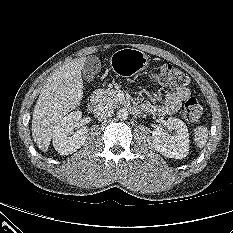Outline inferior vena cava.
<instances>
[{
    "label": "inferior vena cava",
    "instance_id": "obj_1",
    "mask_svg": "<svg viewBox=\"0 0 233 233\" xmlns=\"http://www.w3.org/2000/svg\"><path fill=\"white\" fill-rule=\"evenodd\" d=\"M112 113H113V108L110 105L105 104V103H101L97 105L94 110L95 117L100 118V119H106L110 117Z\"/></svg>",
    "mask_w": 233,
    "mask_h": 233
}]
</instances>
